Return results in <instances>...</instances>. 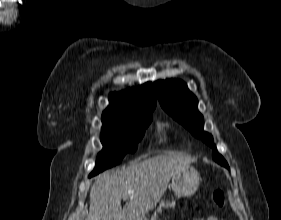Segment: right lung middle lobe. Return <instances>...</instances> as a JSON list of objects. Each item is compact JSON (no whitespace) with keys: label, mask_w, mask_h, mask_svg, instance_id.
<instances>
[{"label":"right lung middle lobe","mask_w":281,"mask_h":220,"mask_svg":"<svg viewBox=\"0 0 281 220\" xmlns=\"http://www.w3.org/2000/svg\"><path fill=\"white\" fill-rule=\"evenodd\" d=\"M152 121V115L102 127L101 142L103 149L98 153L92 177L103 170L119 164L126 153H134L145 129Z\"/></svg>","instance_id":"obj_1"}]
</instances>
